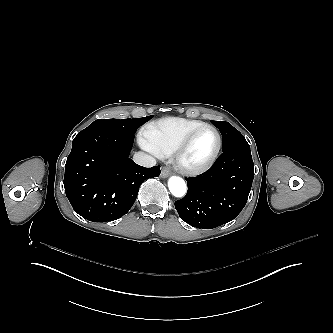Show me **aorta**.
Listing matches in <instances>:
<instances>
[{
  "mask_svg": "<svg viewBox=\"0 0 333 333\" xmlns=\"http://www.w3.org/2000/svg\"><path fill=\"white\" fill-rule=\"evenodd\" d=\"M170 193L175 198H183L187 194V185L182 178L171 177L168 182Z\"/></svg>",
  "mask_w": 333,
  "mask_h": 333,
  "instance_id": "obj_1",
  "label": "aorta"
}]
</instances>
